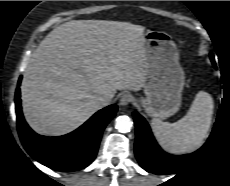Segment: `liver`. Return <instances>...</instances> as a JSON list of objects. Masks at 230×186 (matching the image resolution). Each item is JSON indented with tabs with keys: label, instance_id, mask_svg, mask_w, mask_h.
<instances>
[{
	"label": "liver",
	"instance_id": "6515ba94",
	"mask_svg": "<svg viewBox=\"0 0 230 186\" xmlns=\"http://www.w3.org/2000/svg\"><path fill=\"white\" fill-rule=\"evenodd\" d=\"M144 30L129 22L71 20L51 31L21 84L30 127L46 136L67 134L103 107L99 96L144 88Z\"/></svg>",
	"mask_w": 230,
	"mask_h": 186
}]
</instances>
